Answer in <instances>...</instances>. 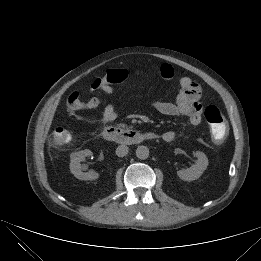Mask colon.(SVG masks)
<instances>
[{
	"mask_svg": "<svg viewBox=\"0 0 261 261\" xmlns=\"http://www.w3.org/2000/svg\"><path fill=\"white\" fill-rule=\"evenodd\" d=\"M127 77V71L123 69H110L102 78L96 79L92 85V90H99L104 83L119 84ZM205 119L209 125L212 139L216 143H221L225 140L228 134V124L225 116L214 105H210L205 109ZM71 133L63 128L57 127L51 136V143L53 145H66L71 141Z\"/></svg>",
	"mask_w": 261,
	"mask_h": 261,
	"instance_id": "5ec220e1",
	"label": "colon"
}]
</instances>
